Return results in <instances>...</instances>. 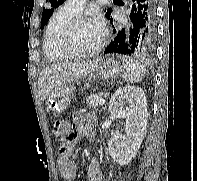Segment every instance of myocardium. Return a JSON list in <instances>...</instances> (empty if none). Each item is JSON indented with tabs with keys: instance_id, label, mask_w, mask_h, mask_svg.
Here are the masks:
<instances>
[{
	"instance_id": "myocardium-1",
	"label": "myocardium",
	"mask_w": 197,
	"mask_h": 181,
	"mask_svg": "<svg viewBox=\"0 0 197 181\" xmlns=\"http://www.w3.org/2000/svg\"><path fill=\"white\" fill-rule=\"evenodd\" d=\"M89 21L86 16L76 15L71 19L65 26L61 38H60V49L69 59H84L96 56L104 47L106 43V33L104 30L101 31V38L97 46L87 52L76 51L72 46V38L76 27L83 23Z\"/></svg>"
}]
</instances>
